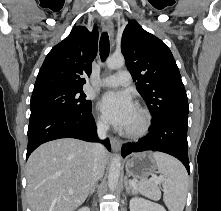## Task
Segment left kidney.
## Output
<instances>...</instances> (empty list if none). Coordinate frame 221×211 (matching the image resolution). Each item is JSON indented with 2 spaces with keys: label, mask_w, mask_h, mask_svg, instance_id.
Returning <instances> with one entry per match:
<instances>
[{
  "label": "left kidney",
  "mask_w": 221,
  "mask_h": 211,
  "mask_svg": "<svg viewBox=\"0 0 221 211\" xmlns=\"http://www.w3.org/2000/svg\"><path fill=\"white\" fill-rule=\"evenodd\" d=\"M130 211H166L160 204L134 197L130 200Z\"/></svg>",
  "instance_id": "1"
}]
</instances>
